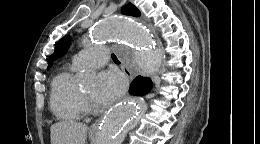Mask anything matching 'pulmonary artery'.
I'll return each instance as SVG.
<instances>
[{
	"label": "pulmonary artery",
	"mask_w": 260,
	"mask_h": 144,
	"mask_svg": "<svg viewBox=\"0 0 260 144\" xmlns=\"http://www.w3.org/2000/svg\"><path fill=\"white\" fill-rule=\"evenodd\" d=\"M109 60L108 48L103 45H95L79 51L73 56V63L78 67H100Z\"/></svg>",
	"instance_id": "1"
}]
</instances>
